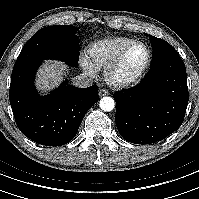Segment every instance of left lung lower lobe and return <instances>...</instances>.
I'll use <instances>...</instances> for the list:
<instances>
[{
	"label": "left lung lower lobe",
	"mask_w": 199,
	"mask_h": 199,
	"mask_svg": "<svg viewBox=\"0 0 199 199\" xmlns=\"http://www.w3.org/2000/svg\"><path fill=\"white\" fill-rule=\"evenodd\" d=\"M114 99L116 125L126 141L149 144L166 138L181 126L189 100L181 57L152 64L139 85L116 92Z\"/></svg>",
	"instance_id": "0a47b994"
}]
</instances>
